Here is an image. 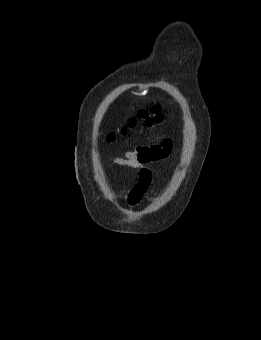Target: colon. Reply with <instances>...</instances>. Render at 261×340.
Here are the masks:
<instances>
[{"instance_id":"5ec220e1","label":"colon","mask_w":261,"mask_h":340,"mask_svg":"<svg viewBox=\"0 0 261 340\" xmlns=\"http://www.w3.org/2000/svg\"><path fill=\"white\" fill-rule=\"evenodd\" d=\"M163 120L162 108L160 105L153 106L150 110L142 109L138 111L137 116L132 117L127 122V127L121 129V133L125 134L127 129H133L138 121L143 122L146 126H151L154 123H160ZM115 138L114 134L109 136L110 140Z\"/></svg>"}]
</instances>
